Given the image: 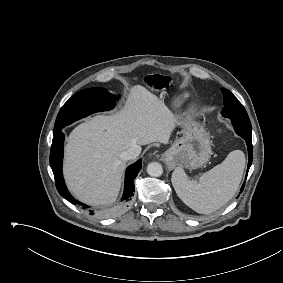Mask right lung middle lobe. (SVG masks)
<instances>
[{
  "instance_id": "dd1d6c3e",
  "label": "right lung middle lobe",
  "mask_w": 283,
  "mask_h": 283,
  "mask_svg": "<svg viewBox=\"0 0 283 283\" xmlns=\"http://www.w3.org/2000/svg\"><path fill=\"white\" fill-rule=\"evenodd\" d=\"M117 99L118 97L104 88H89L76 93L60 109L54 126V136L65 126L89 114L112 109Z\"/></svg>"
}]
</instances>
